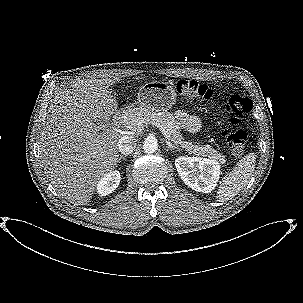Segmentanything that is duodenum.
<instances>
[{
	"label": "duodenum",
	"mask_w": 303,
	"mask_h": 303,
	"mask_svg": "<svg viewBox=\"0 0 303 303\" xmlns=\"http://www.w3.org/2000/svg\"><path fill=\"white\" fill-rule=\"evenodd\" d=\"M129 111H130V109L129 110H120V111H118L114 115L115 122H117V123L122 122L125 119V117H126V115L128 114Z\"/></svg>",
	"instance_id": "410a0bca"
}]
</instances>
